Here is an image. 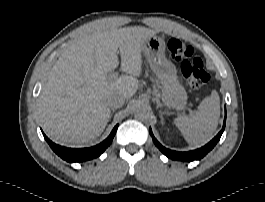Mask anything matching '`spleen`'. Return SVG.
I'll return each mask as SVG.
<instances>
[{"label": "spleen", "instance_id": "1", "mask_svg": "<svg viewBox=\"0 0 265 202\" xmlns=\"http://www.w3.org/2000/svg\"><path fill=\"white\" fill-rule=\"evenodd\" d=\"M220 116V99L216 91L206 97L195 113L179 115L174 124L180 130L185 140L194 146L208 142L215 132Z\"/></svg>", "mask_w": 265, "mask_h": 202}]
</instances>
